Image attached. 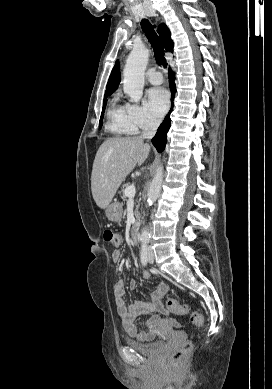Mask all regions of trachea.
<instances>
[{"label":"trachea","instance_id":"trachea-1","mask_svg":"<svg viewBox=\"0 0 272 389\" xmlns=\"http://www.w3.org/2000/svg\"><path fill=\"white\" fill-rule=\"evenodd\" d=\"M141 27H142L148 41L150 42L151 46L153 47L156 62L159 65L166 67L167 63H166V59L164 57V48L161 45V43L159 42V38H158L157 34L155 33L152 25L150 24V22L147 19H143L141 21Z\"/></svg>","mask_w":272,"mask_h":389}]
</instances>
